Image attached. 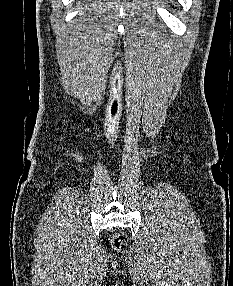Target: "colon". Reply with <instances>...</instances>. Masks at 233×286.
I'll list each match as a JSON object with an SVG mask.
<instances>
[{
	"mask_svg": "<svg viewBox=\"0 0 233 286\" xmlns=\"http://www.w3.org/2000/svg\"><path fill=\"white\" fill-rule=\"evenodd\" d=\"M125 241H126L125 236L122 234H118V235L114 236V238H113V245L116 248H121L124 246Z\"/></svg>",
	"mask_w": 233,
	"mask_h": 286,
	"instance_id": "colon-1",
	"label": "colon"
}]
</instances>
